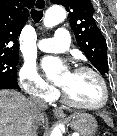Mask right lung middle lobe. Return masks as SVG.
<instances>
[{
    "label": "right lung middle lobe",
    "instance_id": "1",
    "mask_svg": "<svg viewBox=\"0 0 117 136\" xmlns=\"http://www.w3.org/2000/svg\"><path fill=\"white\" fill-rule=\"evenodd\" d=\"M18 61V56H0V80H17L16 66Z\"/></svg>",
    "mask_w": 117,
    "mask_h": 136
}]
</instances>
